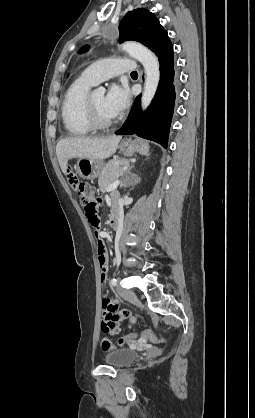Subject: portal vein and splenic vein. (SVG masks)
<instances>
[{
  "mask_svg": "<svg viewBox=\"0 0 255 418\" xmlns=\"http://www.w3.org/2000/svg\"><path fill=\"white\" fill-rule=\"evenodd\" d=\"M119 183H120L119 179L115 180L111 185H109V187L106 189V191L110 192L112 190H115L118 187Z\"/></svg>",
  "mask_w": 255,
  "mask_h": 418,
  "instance_id": "1",
  "label": "portal vein and splenic vein"
}]
</instances>
